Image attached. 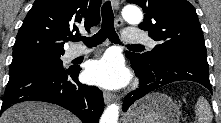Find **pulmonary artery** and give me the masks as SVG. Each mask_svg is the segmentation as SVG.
<instances>
[{
    "label": "pulmonary artery",
    "instance_id": "1",
    "mask_svg": "<svg viewBox=\"0 0 221 123\" xmlns=\"http://www.w3.org/2000/svg\"><path fill=\"white\" fill-rule=\"evenodd\" d=\"M124 40L129 43H142L147 42L151 47L155 45V42L150 39L143 31L137 28H129L124 32ZM91 50L84 46L72 47L67 52V57L69 59H74L84 54H87Z\"/></svg>",
    "mask_w": 221,
    "mask_h": 123
}]
</instances>
